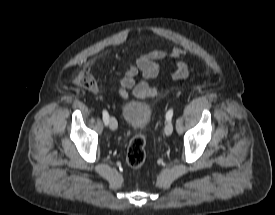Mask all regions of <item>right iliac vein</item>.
I'll list each match as a JSON object with an SVG mask.
<instances>
[{"label": "right iliac vein", "mask_w": 275, "mask_h": 215, "mask_svg": "<svg viewBox=\"0 0 275 215\" xmlns=\"http://www.w3.org/2000/svg\"><path fill=\"white\" fill-rule=\"evenodd\" d=\"M108 123H109V127L111 130H116L117 129V121L114 117H110L109 120H108Z\"/></svg>", "instance_id": "obj_1"}]
</instances>
